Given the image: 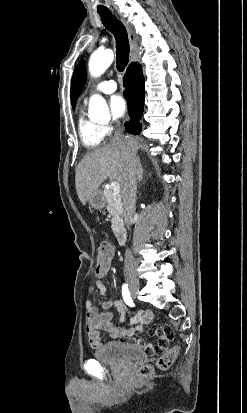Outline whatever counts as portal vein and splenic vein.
Wrapping results in <instances>:
<instances>
[{
	"label": "portal vein and splenic vein",
	"mask_w": 247,
	"mask_h": 413,
	"mask_svg": "<svg viewBox=\"0 0 247 413\" xmlns=\"http://www.w3.org/2000/svg\"><path fill=\"white\" fill-rule=\"evenodd\" d=\"M110 188L114 190V194H119L120 192V184L117 182V180H114V182H111Z\"/></svg>",
	"instance_id": "obj_1"
}]
</instances>
